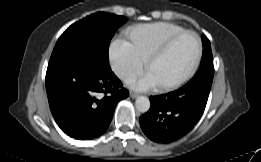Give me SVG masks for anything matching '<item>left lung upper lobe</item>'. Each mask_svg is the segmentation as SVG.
I'll list each match as a JSON object with an SVG mask.
<instances>
[{
    "label": "left lung upper lobe",
    "instance_id": "obj_1",
    "mask_svg": "<svg viewBox=\"0 0 261 162\" xmlns=\"http://www.w3.org/2000/svg\"><path fill=\"white\" fill-rule=\"evenodd\" d=\"M202 42H203V55H202L200 67L197 73L195 74V76L199 74H214L213 56H212L210 41L206 36L202 35Z\"/></svg>",
    "mask_w": 261,
    "mask_h": 162
}]
</instances>
